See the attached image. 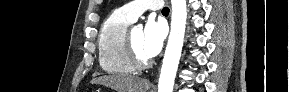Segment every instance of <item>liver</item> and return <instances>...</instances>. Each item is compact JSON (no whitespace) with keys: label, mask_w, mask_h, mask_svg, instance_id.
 Segmentation results:
<instances>
[{"label":"liver","mask_w":289,"mask_h":92,"mask_svg":"<svg viewBox=\"0 0 289 92\" xmlns=\"http://www.w3.org/2000/svg\"><path fill=\"white\" fill-rule=\"evenodd\" d=\"M91 83L110 87L117 92H146L150 88L148 81L125 75L100 76L93 78Z\"/></svg>","instance_id":"obj_1"}]
</instances>
